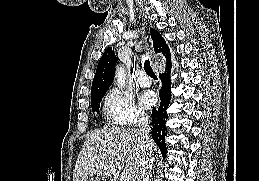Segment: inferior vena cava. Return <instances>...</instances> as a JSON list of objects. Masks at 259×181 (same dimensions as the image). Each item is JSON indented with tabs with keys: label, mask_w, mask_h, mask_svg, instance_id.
Segmentation results:
<instances>
[{
	"label": "inferior vena cava",
	"mask_w": 259,
	"mask_h": 181,
	"mask_svg": "<svg viewBox=\"0 0 259 181\" xmlns=\"http://www.w3.org/2000/svg\"><path fill=\"white\" fill-rule=\"evenodd\" d=\"M141 138L144 144V154L141 162L139 172L136 176V181H149L150 171L153 165V158L149 149V132L151 128L148 123L147 117H142L138 123Z\"/></svg>",
	"instance_id": "inferior-vena-cava-1"
}]
</instances>
